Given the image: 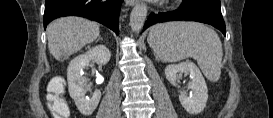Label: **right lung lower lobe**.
I'll list each match as a JSON object with an SVG mask.
<instances>
[{
  "mask_svg": "<svg viewBox=\"0 0 273 118\" xmlns=\"http://www.w3.org/2000/svg\"><path fill=\"white\" fill-rule=\"evenodd\" d=\"M121 0H46L44 28L64 16H80L104 24L117 35Z\"/></svg>",
  "mask_w": 273,
  "mask_h": 118,
  "instance_id": "right-lung-lower-lobe-1",
  "label": "right lung lower lobe"
}]
</instances>
